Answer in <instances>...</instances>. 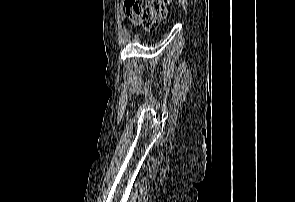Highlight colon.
I'll return each mask as SVG.
<instances>
[{
  "label": "colon",
  "mask_w": 295,
  "mask_h": 202,
  "mask_svg": "<svg viewBox=\"0 0 295 202\" xmlns=\"http://www.w3.org/2000/svg\"><path fill=\"white\" fill-rule=\"evenodd\" d=\"M127 17L134 25L147 31L158 27L159 20L167 15V3L171 0H125Z\"/></svg>",
  "instance_id": "colon-1"
}]
</instances>
